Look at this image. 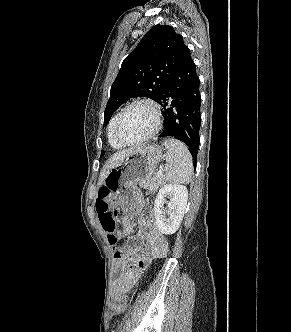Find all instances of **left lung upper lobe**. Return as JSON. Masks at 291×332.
<instances>
[{
	"mask_svg": "<svg viewBox=\"0 0 291 332\" xmlns=\"http://www.w3.org/2000/svg\"><path fill=\"white\" fill-rule=\"evenodd\" d=\"M186 47L172 26L152 27L122 63L111 86L104 127L118 107L132 97H149L158 102Z\"/></svg>",
	"mask_w": 291,
	"mask_h": 332,
	"instance_id": "obj_1",
	"label": "left lung upper lobe"
}]
</instances>
